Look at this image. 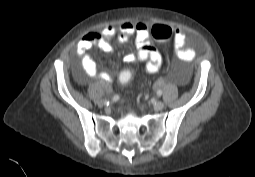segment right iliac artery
I'll return each mask as SVG.
<instances>
[{
    "label": "right iliac artery",
    "instance_id": "right-iliac-artery-1",
    "mask_svg": "<svg viewBox=\"0 0 255 177\" xmlns=\"http://www.w3.org/2000/svg\"><path fill=\"white\" fill-rule=\"evenodd\" d=\"M113 101H118L119 100V96L118 95H114L112 98Z\"/></svg>",
    "mask_w": 255,
    "mask_h": 177
}]
</instances>
